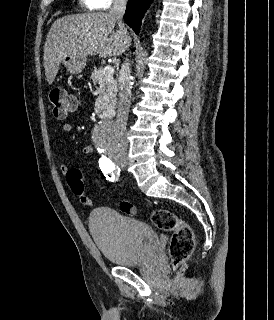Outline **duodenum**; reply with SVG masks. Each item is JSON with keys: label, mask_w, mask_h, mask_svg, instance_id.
Segmentation results:
<instances>
[{"label": "duodenum", "mask_w": 274, "mask_h": 320, "mask_svg": "<svg viewBox=\"0 0 274 320\" xmlns=\"http://www.w3.org/2000/svg\"><path fill=\"white\" fill-rule=\"evenodd\" d=\"M97 115L100 119H110L114 116V112L109 109H104L103 107H98Z\"/></svg>", "instance_id": "obj_1"}]
</instances>
